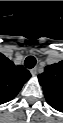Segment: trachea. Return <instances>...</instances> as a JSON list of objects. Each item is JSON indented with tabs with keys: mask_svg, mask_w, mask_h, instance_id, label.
Listing matches in <instances>:
<instances>
[{
	"mask_svg": "<svg viewBox=\"0 0 63 123\" xmlns=\"http://www.w3.org/2000/svg\"><path fill=\"white\" fill-rule=\"evenodd\" d=\"M36 58L32 55L27 56V58L24 61V65L26 68H33L36 65Z\"/></svg>",
	"mask_w": 63,
	"mask_h": 123,
	"instance_id": "trachea-1",
	"label": "trachea"
}]
</instances>
